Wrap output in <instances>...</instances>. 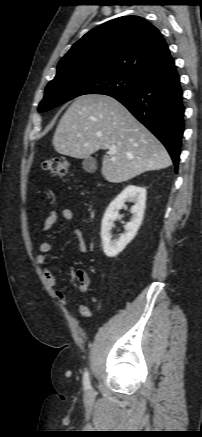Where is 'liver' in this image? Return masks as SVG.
<instances>
[{
    "instance_id": "1",
    "label": "liver",
    "mask_w": 202,
    "mask_h": 437,
    "mask_svg": "<svg viewBox=\"0 0 202 437\" xmlns=\"http://www.w3.org/2000/svg\"><path fill=\"white\" fill-rule=\"evenodd\" d=\"M55 150L78 159L114 147L103 157L102 175L121 183L171 165L161 142L120 102L106 95H83L62 116L53 136Z\"/></svg>"
}]
</instances>
